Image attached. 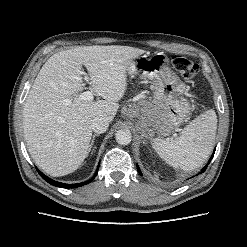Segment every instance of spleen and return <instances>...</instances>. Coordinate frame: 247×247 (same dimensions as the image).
I'll return each instance as SVG.
<instances>
[{
	"label": "spleen",
	"mask_w": 247,
	"mask_h": 247,
	"mask_svg": "<svg viewBox=\"0 0 247 247\" xmlns=\"http://www.w3.org/2000/svg\"><path fill=\"white\" fill-rule=\"evenodd\" d=\"M216 129V113L208 110L192 120L173 141L155 138L152 146L170 166L191 171L209 157L215 143Z\"/></svg>",
	"instance_id": "3e777b00"
}]
</instances>
